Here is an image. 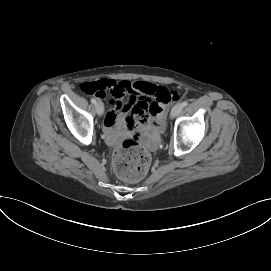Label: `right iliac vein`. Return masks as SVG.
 I'll return each mask as SVG.
<instances>
[{"label":"right iliac vein","mask_w":271,"mask_h":271,"mask_svg":"<svg viewBox=\"0 0 271 271\" xmlns=\"http://www.w3.org/2000/svg\"><path fill=\"white\" fill-rule=\"evenodd\" d=\"M95 108L99 116H101L104 113V105L102 102H97L95 105Z\"/></svg>","instance_id":"obj_1"}]
</instances>
